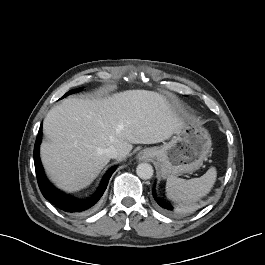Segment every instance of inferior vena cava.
<instances>
[{"mask_svg": "<svg viewBox=\"0 0 265 265\" xmlns=\"http://www.w3.org/2000/svg\"><path fill=\"white\" fill-rule=\"evenodd\" d=\"M104 154L106 157L110 158H118L119 152L114 146H110L104 150Z\"/></svg>", "mask_w": 265, "mask_h": 265, "instance_id": "inferior-vena-cava-1", "label": "inferior vena cava"}]
</instances>
